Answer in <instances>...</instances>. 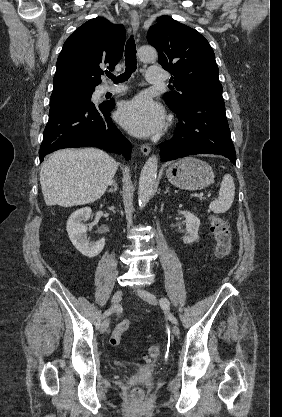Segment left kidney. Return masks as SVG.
Segmentation results:
<instances>
[{"mask_svg": "<svg viewBox=\"0 0 282 417\" xmlns=\"http://www.w3.org/2000/svg\"><path fill=\"white\" fill-rule=\"evenodd\" d=\"M179 215H184L186 223V233L183 239L185 245H190L198 239V231L200 227V219L195 217L190 211H178Z\"/></svg>", "mask_w": 282, "mask_h": 417, "instance_id": "5707ae66", "label": "left kidney"}]
</instances>
